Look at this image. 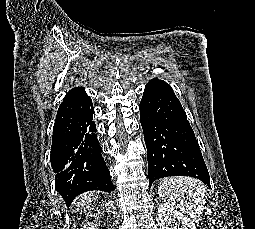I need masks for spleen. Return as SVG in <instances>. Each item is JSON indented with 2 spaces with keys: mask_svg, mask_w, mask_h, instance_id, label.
Instances as JSON below:
<instances>
[{
  "mask_svg": "<svg viewBox=\"0 0 255 229\" xmlns=\"http://www.w3.org/2000/svg\"><path fill=\"white\" fill-rule=\"evenodd\" d=\"M158 194L164 202L198 222L205 210L206 187L198 179L173 176L161 180Z\"/></svg>",
  "mask_w": 255,
  "mask_h": 229,
  "instance_id": "1",
  "label": "spleen"
}]
</instances>
